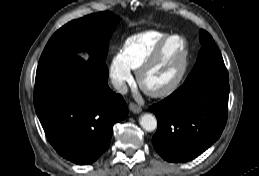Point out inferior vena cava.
<instances>
[{
    "mask_svg": "<svg viewBox=\"0 0 259 176\" xmlns=\"http://www.w3.org/2000/svg\"><path fill=\"white\" fill-rule=\"evenodd\" d=\"M112 85L120 94H126L128 91L126 83L121 79H112Z\"/></svg>",
    "mask_w": 259,
    "mask_h": 176,
    "instance_id": "inferior-vena-cava-1",
    "label": "inferior vena cava"
}]
</instances>
